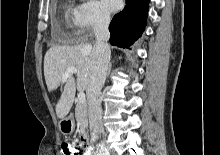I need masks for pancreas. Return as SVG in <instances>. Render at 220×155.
I'll return each instance as SVG.
<instances>
[{"label": "pancreas", "mask_w": 220, "mask_h": 155, "mask_svg": "<svg viewBox=\"0 0 220 155\" xmlns=\"http://www.w3.org/2000/svg\"><path fill=\"white\" fill-rule=\"evenodd\" d=\"M75 117L77 124L80 127V131L82 133L88 126V113L86 103L78 102L76 104Z\"/></svg>", "instance_id": "cf45deb5"}]
</instances>
